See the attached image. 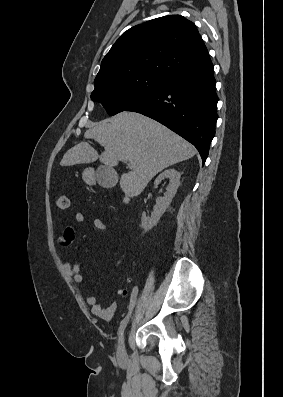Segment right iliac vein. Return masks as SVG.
I'll use <instances>...</instances> for the list:
<instances>
[{
  "mask_svg": "<svg viewBox=\"0 0 283 397\" xmlns=\"http://www.w3.org/2000/svg\"><path fill=\"white\" fill-rule=\"evenodd\" d=\"M117 357L119 360H124L126 358L125 340L124 337L121 338L120 345L117 351Z\"/></svg>",
  "mask_w": 283,
  "mask_h": 397,
  "instance_id": "1",
  "label": "right iliac vein"
}]
</instances>
